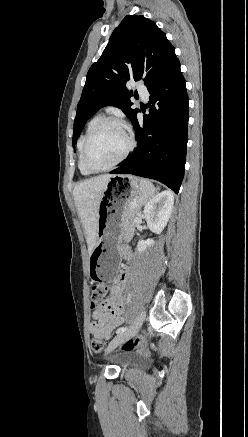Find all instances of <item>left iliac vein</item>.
<instances>
[{
    "instance_id": "1",
    "label": "left iliac vein",
    "mask_w": 248,
    "mask_h": 437,
    "mask_svg": "<svg viewBox=\"0 0 248 437\" xmlns=\"http://www.w3.org/2000/svg\"><path fill=\"white\" fill-rule=\"evenodd\" d=\"M144 319H145V312L141 311L130 329L126 330L123 333L118 334L116 337L113 338V340L108 345L106 353L108 354L112 352L118 345L122 344L124 341L130 339L131 337L135 336L140 330Z\"/></svg>"
}]
</instances>
